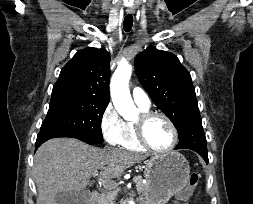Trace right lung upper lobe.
<instances>
[{
  "label": "right lung upper lobe",
  "instance_id": "1",
  "mask_svg": "<svg viewBox=\"0 0 253 204\" xmlns=\"http://www.w3.org/2000/svg\"><path fill=\"white\" fill-rule=\"evenodd\" d=\"M109 63L110 55L105 49L80 50L63 67L53 88L73 89L109 103Z\"/></svg>",
  "mask_w": 253,
  "mask_h": 204
}]
</instances>
